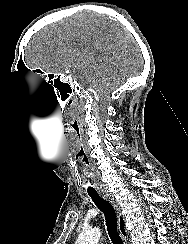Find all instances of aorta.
I'll list each match as a JSON object with an SVG mask.
<instances>
[{
    "instance_id": "obj_1",
    "label": "aorta",
    "mask_w": 188,
    "mask_h": 244,
    "mask_svg": "<svg viewBox=\"0 0 188 244\" xmlns=\"http://www.w3.org/2000/svg\"><path fill=\"white\" fill-rule=\"evenodd\" d=\"M100 236L99 228H84L79 234L76 244H98Z\"/></svg>"
}]
</instances>
